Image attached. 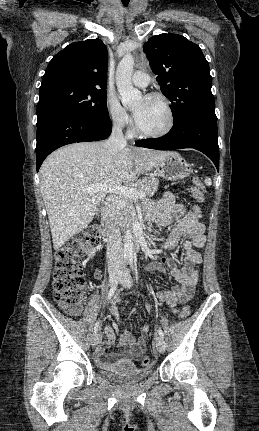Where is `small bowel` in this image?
<instances>
[{"label":"small bowel","mask_w":259,"mask_h":431,"mask_svg":"<svg viewBox=\"0 0 259 431\" xmlns=\"http://www.w3.org/2000/svg\"><path fill=\"white\" fill-rule=\"evenodd\" d=\"M149 219L157 225H170L172 230L167 240L160 245V250L173 249L179 242L181 236L185 237L182 243L183 263L177 266L169 258L152 254V261L148 264L149 270L164 271L165 266L170 270L171 276L178 285L169 290L159 291L157 301L166 302L173 312H177V305L189 301L194 293L198 282L199 269L202 257L199 250L205 244V227L199 219L192 218V209L182 203L175 201L171 193H165L157 203L147 208ZM119 298H115L118 302ZM111 312L117 318L120 317L117 309L112 307ZM150 331L149 325L141 328V334L136 339L131 333L124 331L119 340L120 352L117 355L109 352V347L116 342L115 332L111 325L105 328L107 340L98 345L96 352L97 362L105 367H111L118 363L130 364L139 360L145 350L147 335Z\"/></svg>","instance_id":"1"}]
</instances>
